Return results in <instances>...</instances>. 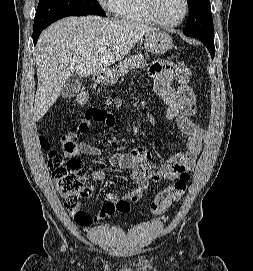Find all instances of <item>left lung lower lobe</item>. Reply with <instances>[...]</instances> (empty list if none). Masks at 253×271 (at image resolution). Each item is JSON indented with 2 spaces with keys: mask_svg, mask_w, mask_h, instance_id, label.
<instances>
[{
  "mask_svg": "<svg viewBox=\"0 0 253 271\" xmlns=\"http://www.w3.org/2000/svg\"><path fill=\"white\" fill-rule=\"evenodd\" d=\"M198 38L209 50L211 57H214V51H215V47H214V39H206L203 37H196Z\"/></svg>",
  "mask_w": 253,
  "mask_h": 271,
  "instance_id": "obj_1",
  "label": "left lung lower lobe"
}]
</instances>
